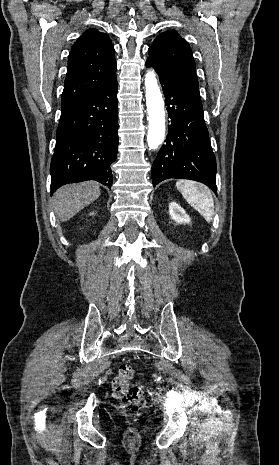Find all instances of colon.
I'll use <instances>...</instances> for the list:
<instances>
[{"label":"colon","mask_w":279,"mask_h":465,"mask_svg":"<svg viewBox=\"0 0 279 465\" xmlns=\"http://www.w3.org/2000/svg\"><path fill=\"white\" fill-rule=\"evenodd\" d=\"M135 375V369L130 364L123 362L119 365L118 374L112 383L115 398L128 413H137L146 404L142 389L130 383Z\"/></svg>","instance_id":"colon-1"}]
</instances>
